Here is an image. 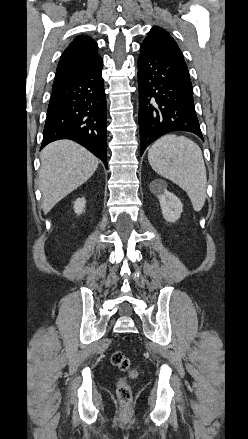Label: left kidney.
<instances>
[{
    "mask_svg": "<svg viewBox=\"0 0 248 439\" xmlns=\"http://www.w3.org/2000/svg\"><path fill=\"white\" fill-rule=\"evenodd\" d=\"M150 188L159 200L164 219L167 222H176L183 211L180 199L164 186H159L156 181L151 183Z\"/></svg>",
    "mask_w": 248,
    "mask_h": 439,
    "instance_id": "5707ae66",
    "label": "left kidney"
}]
</instances>
